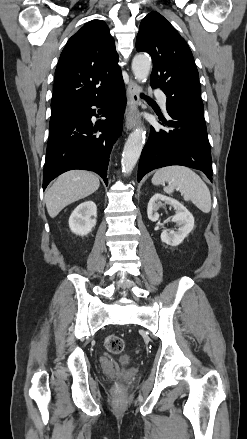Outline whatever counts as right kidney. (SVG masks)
I'll return each mask as SVG.
<instances>
[{
    "label": "right kidney",
    "instance_id": "1",
    "mask_svg": "<svg viewBox=\"0 0 247 439\" xmlns=\"http://www.w3.org/2000/svg\"><path fill=\"white\" fill-rule=\"evenodd\" d=\"M97 207L93 201L79 204L69 218V227L77 235L89 234L96 225Z\"/></svg>",
    "mask_w": 247,
    "mask_h": 439
}]
</instances>
